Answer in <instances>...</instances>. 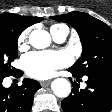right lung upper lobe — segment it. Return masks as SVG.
Segmentation results:
<instances>
[{"label": "right lung upper lobe", "mask_w": 112, "mask_h": 112, "mask_svg": "<svg viewBox=\"0 0 112 112\" xmlns=\"http://www.w3.org/2000/svg\"><path fill=\"white\" fill-rule=\"evenodd\" d=\"M42 20L43 18H40V17L20 16L17 14H4L0 16V29L9 28L13 21H18L22 23L26 29L28 26L33 25Z\"/></svg>", "instance_id": "obj_1"}]
</instances>
